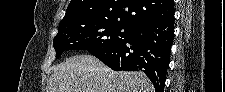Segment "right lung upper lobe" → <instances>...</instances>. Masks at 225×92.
<instances>
[{
  "mask_svg": "<svg viewBox=\"0 0 225 92\" xmlns=\"http://www.w3.org/2000/svg\"><path fill=\"white\" fill-rule=\"evenodd\" d=\"M173 0H71L59 30L80 21L118 22L130 27L174 18Z\"/></svg>",
  "mask_w": 225,
  "mask_h": 92,
  "instance_id": "cb5924a9",
  "label": "right lung upper lobe"
}]
</instances>
